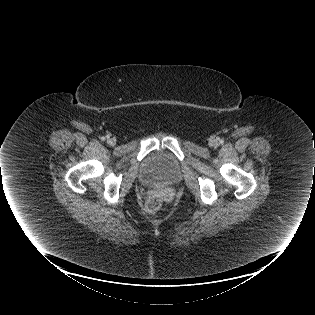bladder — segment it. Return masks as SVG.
<instances>
[{
	"instance_id": "bladder-1",
	"label": "bladder",
	"mask_w": 315,
	"mask_h": 315,
	"mask_svg": "<svg viewBox=\"0 0 315 315\" xmlns=\"http://www.w3.org/2000/svg\"><path fill=\"white\" fill-rule=\"evenodd\" d=\"M179 175L178 162L164 153L150 157L141 170L142 181L147 184H172L177 181Z\"/></svg>"
}]
</instances>
